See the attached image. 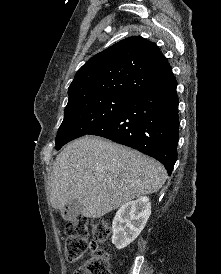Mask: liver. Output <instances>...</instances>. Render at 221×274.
Masks as SVG:
<instances>
[{
  "label": "liver",
  "mask_w": 221,
  "mask_h": 274,
  "mask_svg": "<svg viewBox=\"0 0 221 274\" xmlns=\"http://www.w3.org/2000/svg\"><path fill=\"white\" fill-rule=\"evenodd\" d=\"M166 178L158 161L109 140L84 136L57 155L50 176V202L61 210L78 200L82 216L95 219L157 192Z\"/></svg>",
  "instance_id": "obj_1"
}]
</instances>
